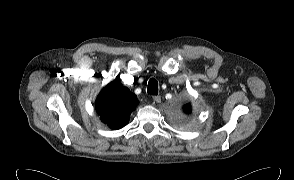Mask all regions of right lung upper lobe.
Instances as JSON below:
<instances>
[{
    "label": "right lung upper lobe",
    "mask_w": 294,
    "mask_h": 180,
    "mask_svg": "<svg viewBox=\"0 0 294 180\" xmlns=\"http://www.w3.org/2000/svg\"><path fill=\"white\" fill-rule=\"evenodd\" d=\"M137 103L136 95L114 80L98 96L96 111L103 123L112 129H120L127 124Z\"/></svg>",
    "instance_id": "obj_1"
}]
</instances>
